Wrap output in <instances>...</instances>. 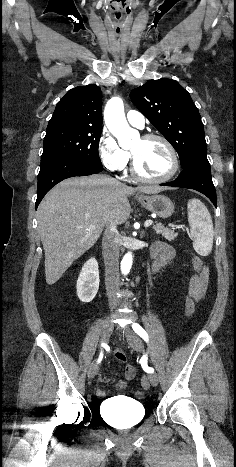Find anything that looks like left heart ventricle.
Returning a JSON list of instances; mask_svg holds the SVG:
<instances>
[{
    "instance_id": "left-heart-ventricle-1",
    "label": "left heart ventricle",
    "mask_w": 236,
    "mask_h": 467,
    "mask_svg": "<svg viewBox=\"0 0 236 467\" xmlns=\"http://www.w3.org/2000/svg\"><path fill=\"white\" fill-rule=\"evenodd\" d=\"M130 151L136 159L139 172L147 177L157 178L166 175L172 166V160L166 146L158 141L138 139Z\"/></svg>"
}]
</instances>
